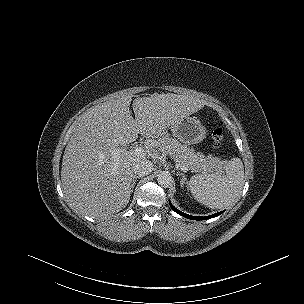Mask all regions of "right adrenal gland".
Masks as SVG:
<instances>
[{
  "label": "right adrenal gland",
  "mask_w": 304,
  "mask_h": 304,
  "mask_svg": "<svg viewBox=\"0 0 304 304\" xmlns=\"http://www.w3.org/2000/svg\"><path fill=\"white\" fill-rule=\"evenodd\" d=\"M138 178L139 177H137V176H134V178H133V181H132V191H133V189H134V187L136 185V181H137Z\"/></svg>",
  "instance_id": "obj_1"
}]
</instances>
